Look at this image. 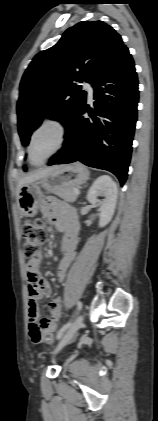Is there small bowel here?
<instances>
[{
  "instance_id": "1",
  "label": "small bowel",
  "mask_w": 158,
  "mask_h": 421,
  "mask_svg": "<svg viewBox=\"0 0 158 421\" xmlns=\"http://www.w3.org/2000/svg\"><path fill=\"white\" fill-rule=\"evenodd\" d=\"M41 212L55 227L63 233L61 245L62 258L57 266V279L62 282L66 272L76 255L78 244L79 222L75 210L59 202L57 199L46 198L41 205ZM42 254L27 264V294L30 336L34 332L51 334L57 329L61 316V300L55 298L49 303L48 317L39 321L40 300L46 299L51 294V287L46 278L40 273ZM43 342V341H39Z\"/></svg>"
}]
</instances>
